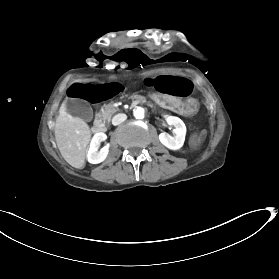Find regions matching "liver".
Listing matches in <instances>:
<instances>
[{"label": "liver", "mask_w": 279, "mask_h": 279, "mask_svg": "<svg viewBox=\"0 0 279 279\" xmlns=\"http://www.w3.org/2000/svg\"><path fill=\"white\" fill-rule=\"evenodd\" d=\"M66 100L59 108L55 122L54 136L64 160L75 168H83L87 145L91 138L89 125L81 118L67 112Z\"/></svg>", "instance_id": "obj_1"}]
</instances>
